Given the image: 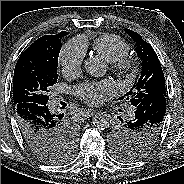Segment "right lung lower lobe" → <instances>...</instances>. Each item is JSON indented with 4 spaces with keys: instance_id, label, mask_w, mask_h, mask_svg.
Returning a JSON list of instances; mask_svg holds the SVG:
<instances>
[{
    "instance_id": "98d812e1",
    "label": "right lung lower lobe",
    "mask_w": 184,
    "mask_h": 184,
    "mask_svg": "<svg viewBox=\"0 0 184 184\" xmlns=\"http://www.w3.org/2000/svg\"><path fill=\"white\" fill-rule=\"evenodd\" d=\"M16 121L19 130L35 153L50 149L61 140V132L68 127L62 114L52 113L46 104L23 102L15 105Z\"/></svg>"
}]
</instances>
